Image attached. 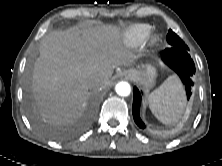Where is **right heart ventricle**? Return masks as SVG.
<instances>
[{
    "mask_svg": "<svg viewBox=\"0 0 222 166\" xmlns=\"http://www.w3.org/2000/svg\"><path fill=\"white\" fill-rule=\"evenodd\" d=\"M150 31L151 26L148 24H135L125 30L122 40L129 47H137L146 40Z\"/></svg>",
    "mask_w": 222,
    "mask_h": 166,
    "instance_id": "right-heart-ventricle-1",
    "label": "right heart ventricle"
}]
</instances>
